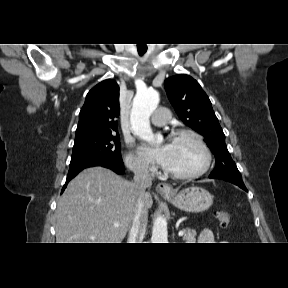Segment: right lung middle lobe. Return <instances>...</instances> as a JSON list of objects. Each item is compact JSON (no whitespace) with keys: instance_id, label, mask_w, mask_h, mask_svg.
Instances as JSON below:
<instances>
[{"instance_id":"obj_1","label":"right lung middle lobe","mask_w":288,"mask_h":288,"mask_svg":"<svg viewBox=\"0 0 288 288\" xmlns=\"http://www.w3.org/2000/svg\"><path fill=\"white\" fill-rule=\"evenodd\" d=\"M118 134L91 137L74 143L71 163L89 158H105L122 164Z\"/></svg>"}]
</instances>
